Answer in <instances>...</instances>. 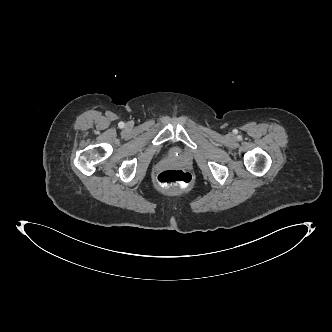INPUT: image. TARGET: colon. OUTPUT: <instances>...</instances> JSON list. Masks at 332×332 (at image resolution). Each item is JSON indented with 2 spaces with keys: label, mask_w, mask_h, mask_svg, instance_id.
<instances>
[{
  "label": "colon",
  "mask_w": 332,
  "mask_h": 332,
  "mask_svg": "<svg viewBox=\"0 0 332 332\" xmlns=\"http://www.w3.org/2000/svg\"><path fill=\"white\" fill-rule=\"evenodd\" d=\"M156 181L162 188H187L192 184V175L180 169H168L160 172Z\"/></svg>",
  "instance_id": "5ec220e1"
}]
</instances>
